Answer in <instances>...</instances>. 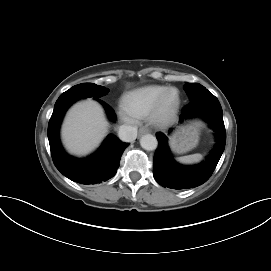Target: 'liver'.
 Returning <instances> with one entry per match:
<instances>
[{
  "label": "liver",
  "instance_id": "6515ba94",
  "mask_svg": "<svg viewBox=\"0 0 271 271\" xmlns=\"http://www.w3.org/2000/svg\"><path fill=\"white\" fill-rule=\"evenodd\" d=\"M107 131L108 122L102 107L87 99L68 111L62 127V139L69 152L86 155L100 144Z\"/></svg>",
  "mask_w": 271,
  "mask_h": 271
}]
</instances>
